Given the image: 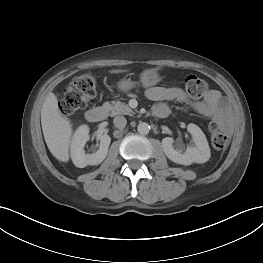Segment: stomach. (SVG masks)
Instances as JSON below:
<instances>
[{
    "label": "stomach",
    "mask_w": 263,
    "mask_h": 263,
    "mask_svg": "<svg viewBox=\"0 0 263 263\" xmlns=\"http://www.w3.org/2000/svg\"><path fill=\"white\" fill-rule=\"evenodd\" d=\"M160 81V76L156 69H147L142 72L140 76V82L143 87H151L156 85ZM136 85L135 82L131 81L130 79H122L118 82V88L123 91L127 92L134 88Z\"/></svg>",
    "instance_id": "obj_1"
}]
</instances>
